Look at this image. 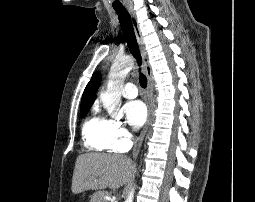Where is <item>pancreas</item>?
I'll list each match as a JSON object with an SVG mask.
<instances>
[{
  "label": "pancreas",
  "mask_w": 255,
  "mask_h": 202,
  "mask_svg": "<svg viewBox=\"0 0 255 202\" xmlns=\"http://www.w3.org/2000/svg\"><path fill=\"white\" fill-rule=\"evenodd\" d=\"M106 195V191H97L92 195L90 202H106V200L104 199V196Z\"/></svg>",
  "instance_id": "obj_1"
}]
</instances>
